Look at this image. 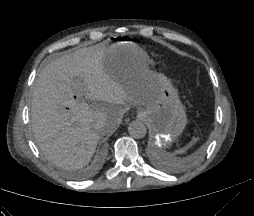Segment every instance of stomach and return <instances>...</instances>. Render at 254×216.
Segmentation results:
<instances>
[{"label": "stomach", "instance_id": "0dacf381", "mask_svg": "<svg viewBox=\"0 0 254 216\" xmlns=\"http://www.w3.org/2000/svg\"><path fill=\"white\" fill-rule=\"evenodd\" d=\"M111 67L130 77L135 74H151V103L138 111L152 129V142L159 148L172 144L183 132L187 117L177 90L161 73L151 71L147 54L127 37H118L109 46Z\"/></svg>", "mask_w": 254, "mask_h": 216}]
</instances>
